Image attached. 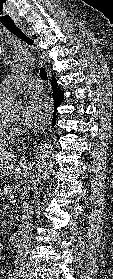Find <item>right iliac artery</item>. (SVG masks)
<instances>
[{"label": "right iliac artery", "instance_id": "82829eb1", "mask_svg": "<svg viewBox=\"0 0 113 279\" xmlns=\"http://www.w3.org/2000/svg\"><path fill=\"white\" fill-rule=\"evenodd\" d=\"M18 275L17 270H13L10 274H9V279H16V276Z\"/></svg>", "mask_w": 113, "mask_h": 279}]
</instances>
